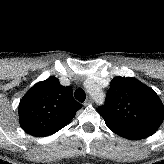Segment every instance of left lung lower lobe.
<instances>
[{"label": "left lung lower lobe", "mask_w": 164, "mask_h": 164, "mask_svg": "<svg viewBox=\"0 0 164 164\" xmlns=\"http://www.w3.org/2000/svg\"><path fill=\"white\" fill-rule=\"evenodd\" d=\"M106 125L117 135L126 138V139H130V140H137V139H144L147 138L148 135L139 133V132H135L132 130H128V129H122V128H117V127H113L112 125H110L108 122H106Z\"/></svg>", "instance_id": "1"}]
</instances>
